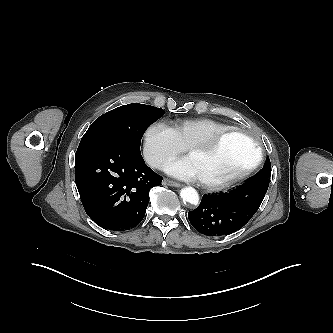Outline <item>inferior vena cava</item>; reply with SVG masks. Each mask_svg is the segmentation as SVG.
Masks as SVG:
<instances>
[{"mask_svg":"<svg viewBox=\"0 0 333 333\" xmlns=\"http://www.w3.org/2000/svg\"><path fill=\"white\" fill-rule=\"evenodd\" d=\"M155 165H156L157 167H159V166L161 165V162H160V161H157V162L155 163Z\"/></svg>","mask_w":333,"mask_h":333,"instance_id":"602c4592","label":"inferior vena cava"}]
</instances>
